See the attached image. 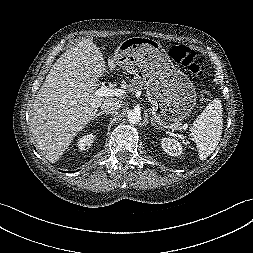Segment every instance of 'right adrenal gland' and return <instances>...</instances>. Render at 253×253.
<instances>
[{"instance_id":"obj_1","label":"right adrenal gland","mask_w":253,"mask_h":253,"mask_svg":"<svg viewBox=\"0 0 253 253\" xmlns=\"http://www.w3.org/2000/svg\"><path fill=\"white\" fill-rule=\"evenodd\" d=\"M101 115H104V116H107L104 112H98L95 116H94V120L97 118V117H99V116H101ZM105 118V117H104Z\"/></svg>"}]
</instances>
